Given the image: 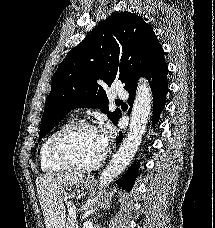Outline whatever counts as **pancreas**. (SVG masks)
I'll return each instance as SVG.
<instances>
[{
    "instance_id": "pancreas-1",
    "label": "pancreas",
    "mask_w": 215,
    "mask_h": 228,
    "mask_svg": "<svg viewBox=\"0 0 215 228\" xmlns=\"http://www.w3.org/2000/svg\"><path fill=\"white\" fill-rule=\"evenodd\" d=\"M66 228H76L75 218L71 214V210H67V224Z\"/></svg>"
}]
</instances>
